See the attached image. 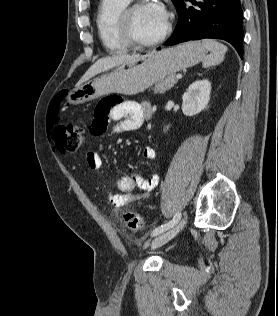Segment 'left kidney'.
<instances>
[{
    "instance_id": "5707ae66",
    "label": "left kidney",
    "mask_w": 278,
    "mask_h": 316,
    "mask_svg": "<svg viewBox=\"0 0 278 316\" xmlns=\"http://www.w3.org/2000/svg\"><path fill=\"white\" fill-rule=\"evenodd\" d=\"M211 83L198 80L192 83L183 94L182 111L186 116H194L204 110L210 100Z\"/></svg>"
}]
</instances>
